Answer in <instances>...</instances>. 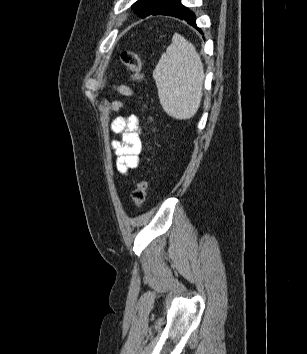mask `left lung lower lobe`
Masks as SVG:
<instances>
[{
  "label": "left lung lower lobe",
  "instance_id": "left-lung-lower-lobe-1",
  "mask_svg": "<svg viewBox=\"0 0 307 354\" xmlns=\"http://www.w3.org/2000/svg\"><path fill=\"white\" fill-rule=\"evenodd\" d=\"M152 15H167L184 19L188 24L192 25L202 33V31L196 26L194 13L183 6L180 0H169L161 10Z\"/></svg>",
  "mask_w": 307,
  "mask_h": 354
}]
</instances>
